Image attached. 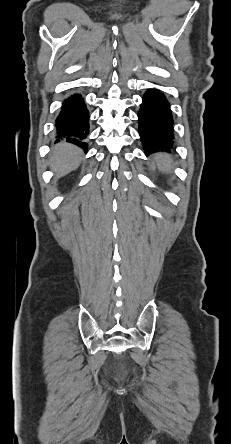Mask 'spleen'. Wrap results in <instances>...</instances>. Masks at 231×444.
Masks as SVG:
<instances>
[{
  "label": "spleen",
  "instance_id": "obj_1",
  "mask_svg": "<svg viewBox=\"0 0 231 444\" xmlns=\"http://www.w3.org/2000/svg\"><path fill=\"white\" fill-rule=\"evenodd\" d=\"M173 166L172 159L169 154L158 153L155 155L152 167H157L162 172H169Z\"/></svg>",
  "mask_w": 231,
  "mask_h": 444
}]
</instances>
